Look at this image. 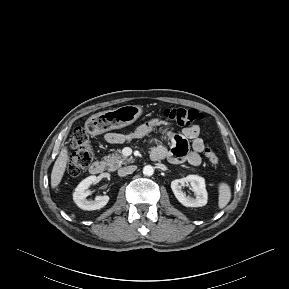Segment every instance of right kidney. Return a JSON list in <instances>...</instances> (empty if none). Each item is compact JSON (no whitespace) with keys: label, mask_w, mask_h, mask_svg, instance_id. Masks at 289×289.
Returning a JSON list of instances; mask_svg holds the SVG:
<instances>
[{"label":"right kidney","mask_w":289,"mask_h":289,"mask_svg":"<svg viewBox=\"0 0 289 289\" xmlns=\"http://www.w3.org/2000/svg\"><path fill=\"white\" fill-rule=\"evenodd\" d=\"M98 182L96 176H89L79 183L73 193V200L77 206L83 210H99L103 208L109 201V196H97L94 200H87L86 197L90 195L87 191L88 187Z\"/></svg>","instance_id":"right-kidney-1"}]
</instances>
